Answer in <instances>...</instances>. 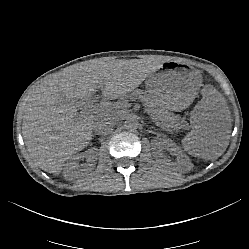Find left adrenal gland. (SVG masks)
<instances>
[{
	"label": "left adrenal gland",
	"mask_w": 249,
	"mask_h": 249,
	"mask_svg": "<svg viewBox=\"0 0 249 249\" xmlns=\"http://www.w3.org/2000/svg\"><path fill=\"white\" fill-rule=\"evenodd\" d=\"M150 129L154 130L155 128L153 126H150Z\"/></svg>",
	"instance_id": "obj_1"
}]
</instances>
